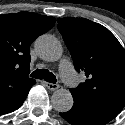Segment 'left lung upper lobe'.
I'll use <instances>...</instances> for the list:
<instances>
[{
  "mask_svg": "<svg viewBox=\"0 0 125 125\" xmlns=\"http://www.w3.org/2000/svg\"><path fill=\"white\" fill-rule=\"evenodd\" d=\"M58 29L76 71L88 78L70 89L83 102L111 100L125 105V50L104 26L84 18H58Z\"/></svg>",
  "mask_w": 125,
  "mask_h": 125,
  "instance_id": "left-lung-upper-lobe-1",
  "label": "left lung upper lobe"
}]
</instances>
